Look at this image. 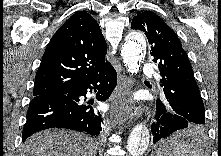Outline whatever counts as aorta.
Wrapping results in <instances>:
<instances>
[{"label": "aorta", "mask_w": 221, "mask_h": 156, "mask_svg": "<svg viewBox=\"0 0 221 156\" xmlns=\"http://www.w3.org/2000/svg\"><path fill=\"white\" fill-rule=\"evenodd\" d=\"M145 39L141 33H130L121 49L123 63L128 72L137 74L143 58ZM150 134L147 128L137 124L131 131L127 141V151L130 156L144 153L149 145Z\"/></svg>", "instance_id": "1"}]
</instances>
